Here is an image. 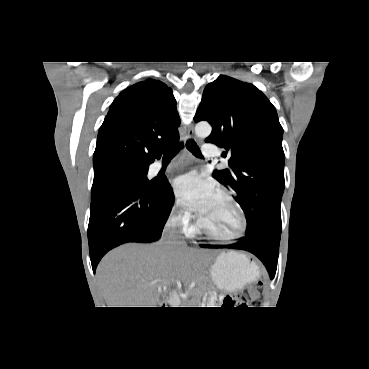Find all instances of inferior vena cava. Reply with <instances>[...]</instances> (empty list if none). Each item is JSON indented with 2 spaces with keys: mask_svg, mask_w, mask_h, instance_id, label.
<instances>
[{
  "mask_svg": "<svg viewBox=\"0 0 369 369\" xmlns=\"http://www.w3.org/2000/svg\"><path fill=\"white\" fill-rule=\"evenodd\" d=\"M162 242L166 249L172 250L176 246L186 245L182 237V220L180 216H172L165 224Z\"/></svg>",
  "mask_w": 369,
  "mask_h": 369,
  "instance_id": "1",
  "label": "inferior vena cava"
}]
</instances>
